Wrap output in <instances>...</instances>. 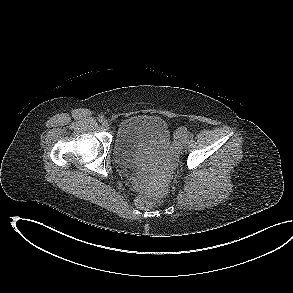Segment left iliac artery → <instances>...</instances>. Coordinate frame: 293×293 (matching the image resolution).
I'll return each instance as SVG.
<instances>
[{"label": "left iliac artery", "mask_w": 293, "mask_h": 293, "mask_svg": "<svg viewBox=\"0 0 293 293\" xmlns=\"http://www.w3.org/2000/svg\"><path fill=\"white\" fill-rule=\"evenodd\" d=\"M193 136H194L193 134H190V138H193Z\"/></svg>", "instance_id": "left-iliac-artery-1"}]
</instances>
